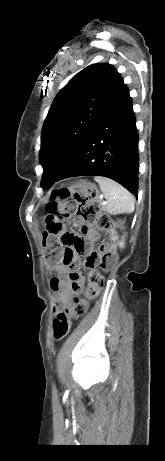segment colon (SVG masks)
Wrapping results in <instances>:
<instances>
[{
    "label": "colon",
    "mask_w": 165,
    "mask_h": 461,
    "mask_svg": "<svg viewBox=\"0 0 165 461\" xmlns=\"http://www.w3.org/2000/svg\"><path fill=\"white\" fill-rule=\"evenodd\" d=\"M97 189L90 183L82 181L70 187H62L54 193L52 199L47 204L48 216L45 219V231L43 244L46 248L45 263L52 268L60 263L61 251H73L59 248L60 230L69 213H74L84 222L94 224L103 231L112 228V220L107 214L98 211L95 200ZM116 261L114 251L102 246L98 251L93 252L86 258V267L92 269L88 274V286L82 297L74 300L70 315L58 314L53 323V336L56 340L63 339L69 332L72 320L82 317L88 306V301L97 298L104 287L103 276L93 270L99 266L102 269H111Z\"/></svg>",
    "instance_id": "obj_1"
}]
</instances>
